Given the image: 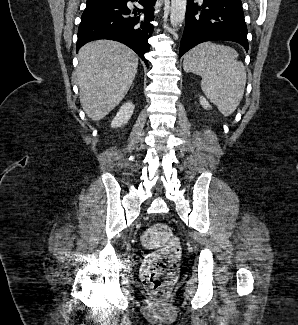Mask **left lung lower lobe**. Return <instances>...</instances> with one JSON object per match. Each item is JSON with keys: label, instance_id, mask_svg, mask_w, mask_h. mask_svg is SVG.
<instances>
[{"label": "left lung lower lobe", "instance_id": "obj_1", "mask_svg": "<svg viewBox=\"0 0 298 325\" xmlns=\"http://www.w3.org/2000/svg\"><path fill=\"white\" fill-rule=\"evenodd\" d=\"M213 40L234 41L248 51L241 0H203L202 5L187 0L179 58L197 44Z\"/></svg>", "mask_w": 298, "mask_h": 325}]
</instances>
